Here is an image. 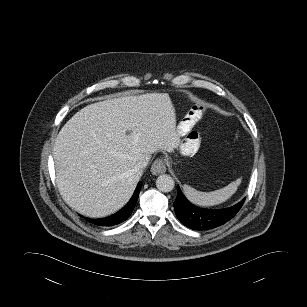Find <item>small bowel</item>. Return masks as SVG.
Returning a JSON list of instances; mask_svg holds the SVG:
<instances>
[{
  "mask_svg": "<svg viewBox=\"0 0 307 307\" xmlns=\"http://www.w3.org/2000/svg\"><path fill=\"white\" fill-rule=\"evenodd\" d=\"M204 114V108L201 106H195L189 115L185 119V123L189 126H193ZM176 135L179 138H186L189 135V128L186 125H179L176 128Z\"/></svg>",
  "mask_w": 307,
  "mask_h": 307,
  "instance_id": "small-bowel-1",
  "label": "small bowel"
}]
</instances>
